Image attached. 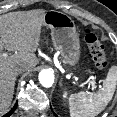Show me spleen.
Here are the masks:
<instances>
[{"instance_id":"obj_1","label":"spleen","mask_w":117,"mask_h":117,"mask_svg":"<svg viewBox=\"0 0 117 117\" xmlns=\"http://www.w3.org/2000/svg\"><path fill=\"white\" fill-rule=\"evenodd\" d=\"M117 84V67L112 66L99 91L86 94L80 92L68 96L70 117H95L110 102Z\"/></svg>"}]
</instances>
